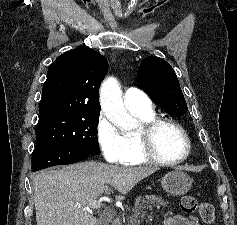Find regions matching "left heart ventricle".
<instances>
[{"label":"left heart ventricle","instance_id":"b2bd125f","mask_svg":"<svg viewBox=\"0 0 237 225\" xmlns=\"http://www.w3.org/2000/svg\"><path fill=\"white\" fill-rule=\"evenodd\" d=\"M156 147L161 157L178 159L185 154L186 144L182 135L172 127H162L156 134Z\"/></svg>","mask_w":237,"mask_h":225}]
</instances>
